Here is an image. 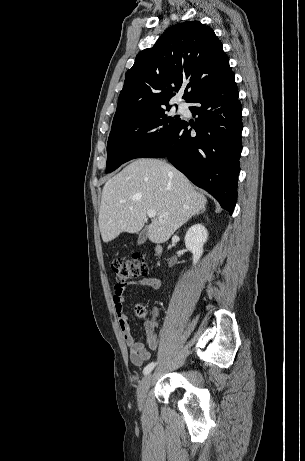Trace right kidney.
<instances>
[{
  "instance_id": "right-kidney-1",
  "label": "right kidney",
  "mask_w": 305,
  "mask_h": 461,
  "mask_svg": "<svg viewBox=\"0 0 305 461\" xmlns=\"http://www.w3.org/2000/svg\"><path fill=\"white\" fill-rule=\"evenodd\" d=\"M208 232L202 224L191 226L185 235L186 248L193 253V264L195 265L203 254V246L207 241Z\"/></svg>"
}]
</instances>
